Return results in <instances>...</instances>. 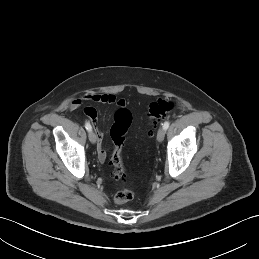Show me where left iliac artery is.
I'll return each mask as SVG.
<instances>
[{
    "instance_id": "44dca946",
    "label": "left iliac artery",
    "mask_w": 259,
    "mask_h": 259,
    "mask_svg": "<svg viewBox=\"0 0 259 259\" xmlns=\"http://www.w3.org/2000/svg\"><path fill=\"white\" fill-rule=\"evenodd\" d=\"M169 124H170V123H169L168 121L164 122L163 128H164L165 130H167L168 127H169Z\"/></svg>"
}]
</instances>
